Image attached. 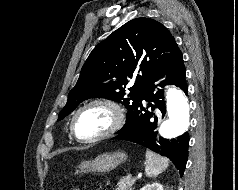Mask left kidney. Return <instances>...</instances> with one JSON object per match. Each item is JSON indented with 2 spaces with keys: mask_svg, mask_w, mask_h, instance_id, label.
I'll return each instance as SVG.
<instances>
[{
  "mask_svg": "<svg viewBox=\"0 0 238 190\" xmlns=\"http://www.w3.org/2000/svg\"><path fill=\"white\" fill-rule=\"evenodd\" d=\"M140 190H164L160 183H151L142 187Z\"/></svg>",
  "mask_w": 238,
  "mask_h": 190,
  "instance_id": "1",
  "label": "left kidney"
}]
</instances>
